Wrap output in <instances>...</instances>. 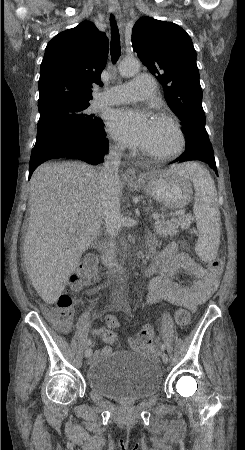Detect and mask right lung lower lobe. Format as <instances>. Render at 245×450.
Instances as JSON below:
<instances>
[{"label":"right lung lower lobe","instance_id":"1","mask_svg":"<svg viewBox=\"0 0 245 450\" xmlns=\"http://www.w3.org/2000/svg\"><path fill=\"white\" fill-rule=\"evenodd\" d=\"M107 149L108 141L105 138V131L102 125L94 140L67 142L40 152L32 151L29 164V179L37 166L54 158H75L97 165L103 161Z\"/></svg>","mask_w":245,"mask_h":450}]
</instances>
